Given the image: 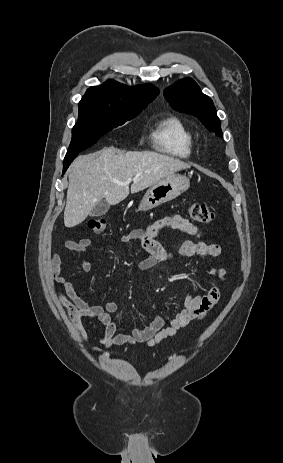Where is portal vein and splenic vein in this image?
I'll return each mask as SVG.
<instances>
[{"label":"portal vein and splenic vein","mask_w":283,"mask_h":463,"mask_svg":"<svg viewBox=\"0 0 283 463\" xmlns=\"http://www.w3.org/2000/svg\"><path fill=\"white\" fill-rule=\"evenodd\" d=\"M134 180L135 178H128L126 183L129 184L131 181H134Z\"/></svg>","instance_id":"portal-vein-and-splenic-vein-1"}]
</instances>
